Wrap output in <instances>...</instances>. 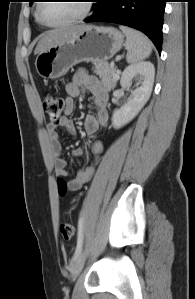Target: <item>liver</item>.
<instances>
[{
  "label": "liver",
  "instance_id": "6515ba94",
  "mask_svg": "<svg viewBox=\"0 0 195 299\" xmlns=\"http://www.w3.org/2000/svg\"><path fill=\"white\" fill-rule=\"evenodd\" d=\"M85 26H73L68 28H60L47 32L40 38L34 54L38 55L41 52L75 36L79 30Z\"/></svg>",
  "mask_w": 195,
  "mask_h": 299
}]
</instances>
